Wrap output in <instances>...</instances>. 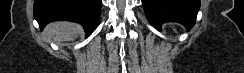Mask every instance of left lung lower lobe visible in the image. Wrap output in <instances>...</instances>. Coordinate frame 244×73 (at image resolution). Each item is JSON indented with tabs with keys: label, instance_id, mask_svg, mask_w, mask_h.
Wrapping results in <instances>:
<instances>
[{
	"label": "left lung lower lobe",
	"instance_id": "0a47b994",
	"mask_svg": "<svg viewBox=\"0 0 244 73\" xmlns=\"http://www.w3.org/2000/svg\"><path fill=\"white\" fill-rule=\"evenodd\" d=\"M149 22L160 28L164 22H178L190 29L200 7V0H142Z\"/></svg>",
	"mask_w": 244,
	"mask_h": 73
}]
</instances>
